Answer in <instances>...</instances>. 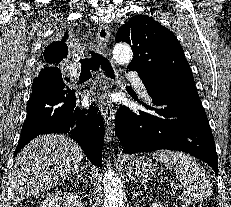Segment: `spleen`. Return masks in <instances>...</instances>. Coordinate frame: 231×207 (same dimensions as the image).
I'll list each match as a JSON object with an SVG mask.
<instances>
[{
    "label": "spleen",
    "instance_id": "spleen-1",
    "mask_svg": "<svg viewBox=\"0 0 231 207\" xmlns=\"http://www.w3.org/2000/svg\"><path fill=\"white\" fill-rule=\"evenodd\" d=\"M153 159L162 162L166 168L174 169L184 191L180 200L186 204L202 202L212 194V183L205 170L190 155L179 151L158 150Z\"/></svg>",
    "mask_w": 231,
    "mask_h": 207
}]
</instances>
